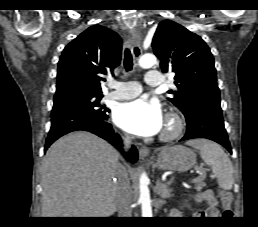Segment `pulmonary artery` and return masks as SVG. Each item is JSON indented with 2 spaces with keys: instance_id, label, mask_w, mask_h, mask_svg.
<instances>
[{
  "instance_id": "obj_1",
  "label": "pulmonary artery",
  "mask_w": 258,
  "mask_h": 227,
  "mask_svg": "<svg viewBox=\"0 0 258 227\" xmlns=\"http://www.w3.org/2000/svg\"><path fill=\"white\" fill-rule=\"evenodd\" d=\"M145 81L150 86H160L162 78L159 71L152 70L146 73ZM113 91L107 94L112 100H127L138 96L142 92V87L137 81L112 82Z\"/></svg>"
}]
</instances>
